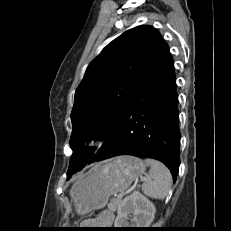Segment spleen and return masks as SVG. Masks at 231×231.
Returning a JSON list of instances; mask_svg holds the SVG:
<instances>
[{"mask_svg": "<svg viewBox=\"0 0 231 231\" xmlns=\"http://www.w3.org/2000/svg\"><path fill=\"white\" fill-rule=\"evenodd\" d=\"M150 165L148 178L142 184V191L150 198L163 200L171 187L172 176L168 168L154 159H146Z\"/></svg>", "mask_w": 231, "mask_h": 231, "instance_id": "obj_1", "label": "spleen"}]
</instances>
